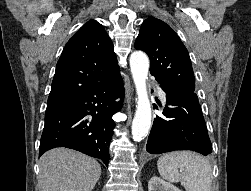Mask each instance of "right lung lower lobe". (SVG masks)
<instances>
[{
	"mask_svg": "<svg viewBox=\"0 0 251 191\" xmlns=\"http://www.w3.org/2000/svg\"><path fill=\"white\" fill-rule=\"evenodd\" d=\"M123 96V81L117 75L63 105L46 109L39 156L55 147H67L99 158L108 167L115 127L112 115L120 110ZM118 97L121 101L117 103Z\"/></svg>",
	"mask_w": 251,
	"mask_h": 191,
	"instance_id": "98d812e1",
	"label": "right lung lower lobe"
}]
</instances>
